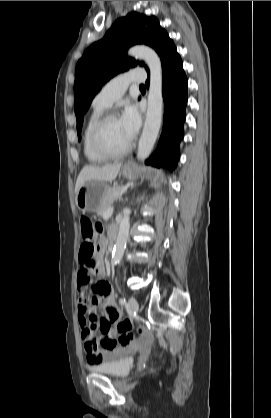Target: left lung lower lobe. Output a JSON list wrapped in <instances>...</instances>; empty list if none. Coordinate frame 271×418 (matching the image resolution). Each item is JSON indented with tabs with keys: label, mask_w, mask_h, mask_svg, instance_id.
<instances>
[{
	"label": "left lung lower lobe",
	"mask_w": 271,
	"mask_h": 418,
	"mask_svg": "<svg viewBox=\"0 0 271 418\" xmlns=\"http://www.w3.org/2000/svg\"><path fill=\"white\" fill-rule=\"evenodd\" d=\"M159 56L163 70L162 94L165 105L163 131L157 150L145 163L173 170L180 157L179 144L184 136L188 82L182 60L170 38L164 43ZM147 72L149 74V69ZM146 85L148 87L149 81Z\"/></svg>",
	"instance_id": "0a47b994"
}]
</instances>
